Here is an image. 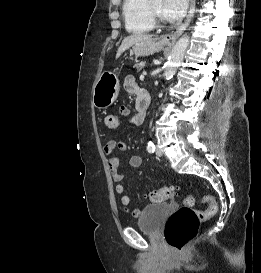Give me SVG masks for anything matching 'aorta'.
Wrapping results in <instances>:
<instances>
[{
	"mask_svg": "<svg viewBox=\"0 0 261 273\" xmlns=\"http://www.w3.org/2000/svg\"><path fill=\"white\" fill-rule=\"evenodd\" d=\"M189 42L190 40L188 35L182 36L176 42V44L172 48L168 62L166 63L165 71L163 74L164 78L172 76L176 68L181 65Z\"/></svg>",
	"mask_w": 261,
	"mask_h": 273,
	"instance_id": "obj_1",
	"label": "aorta"
}]
</instances>
